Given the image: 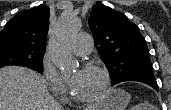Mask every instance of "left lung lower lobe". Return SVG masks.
Masks as SVG:
<instances>
[{"mask_svg": "<svg viewBox=\"0 0 171 110\" xmlns=\"http://www.w3.org/2000/svg\"><path fill=\"white\" fill-rule=\"evenodd\" d=\"M126 81H139V82H143V83H145V84L151 86V87L154 88L156 91H158V89H159L156 80H148V79H131V80H126ZM112 86H113V85H112Z\"/></svg>", "mask_w": 171, "mask_h": 110, "instance_id": "obj_1", "label": "left lung lower lobe"}]
</instances>
